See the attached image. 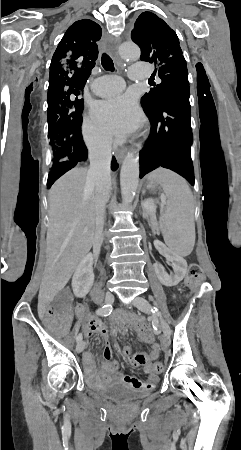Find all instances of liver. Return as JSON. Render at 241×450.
I'll use <instances>...</instances> for the list:
<instances>
[{"label":"liver","mask_w":241,"mask_h":450,"mask_svg":"<svg viewBox=\"0 0 241 450\" xmlns=\"http://www.w3.org/2000/svg\"><path fill=\"white\" fill-rule=\"evenodd\" d=\"M87 168H73L49 190L45 270L39 302L49 304L65 288L75 268L93 246L95 190H85Z\"/></svg>","instance_id":"obj_1"}]
</instances>
